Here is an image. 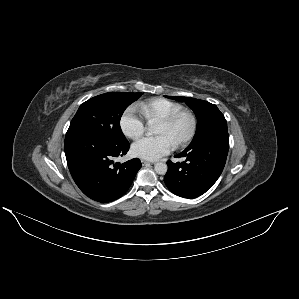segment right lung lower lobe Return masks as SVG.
Wrapping results in <instances>:
<instances>
[{"mask_svg": "<svg viewBox=\"0 0 299 299\" xmlns=\"http://www.w3.org/2000/svg\"><path fill=\"white\" fill-rule=\"evenodd\" d=\"M128 141L117 143L95 132L66 134L64 149L69 171L89 198L106 203L120 198L130 187L141 162L135 158L115 162L129 150Z\"/></svg>", "mask_w": 299, "mask_h": 299, "instance_id": "right-lung-lower-lobe-1", "label": "right lung lower lobe"}]
</instances>
